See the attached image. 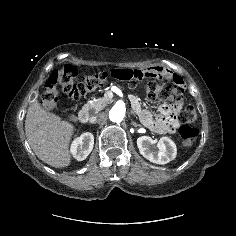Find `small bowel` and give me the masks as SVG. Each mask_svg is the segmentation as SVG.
Segmentation results:
<instances>
[{
  "instance_id": "obj_1",
  "label": "small bowel",
  "mask_w": 236,
  "mask_h": 236,
  "mask_svg": "<svg viewBox=\"0 0 236 236\" xmlns=\"http://www.w3.org/2000/svg\"><path fill=\"white\" fill-rule=\"evenodd\" d=\"M111 75L114 79L130 88L136 87L139 82L145 79V77H156L160 79L169 78L179 85L183 83L182 79L178 75L173 74L161 66L149 67L144 70L133 67H116L112 70ZM131 103L133 109L140 116L143 124L150 129L159 133L175 132L177 121L173 116L174 109L165 105L161 108V115L154 118L149 111L140 108L139 102L136 98H132Z\"/></svg>"
}]
</instances>
